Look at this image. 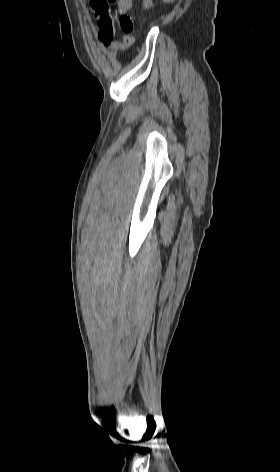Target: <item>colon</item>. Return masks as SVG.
Returning <instances> with one entry per match:
<instances>
[{"label": "colon", "instance_id": "1", "mask_svg": "<svg viewBox=\"0 0 280 472\" xmlns=\"http://www.w3.org/2000/svg\"><path fill=\"white\" fill-rule=\"evenodd\" d=\"M116 0H90L91 7L96 15L98 23L102 26L108 25L112 22L110 15V6L115 3ZM117 20L121 30L130 37L134 30V25L131 17L127 14L117 13ZM132 41L129 43V45Z\"/></svg>", "mask_w": 280, "mask_h": 472}]
</instances>
